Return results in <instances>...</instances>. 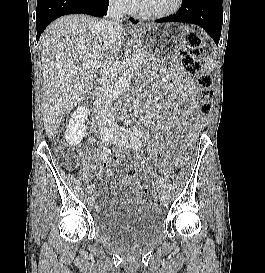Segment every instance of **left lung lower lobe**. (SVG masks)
Segmentation results:
<instances>
[{"label":"left lung lower lobe","mask_w":265,"mask_h":273,"mask_svg":"<svg viewBox=\"0 0 265 273\" xmlns=\"http://www.w3.org/2000/svg\"><path fill=\"white\" fill-rule=\"evenodd\" d=\"M157 22H185L202 27L218 45L223 23L222 0H183L173 16Z\"/></svg>","instance_id":"left-lung-lower-lobe-1"}]
</instances>
